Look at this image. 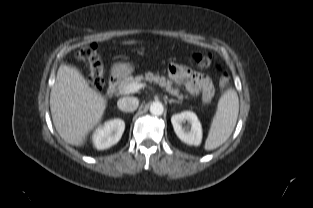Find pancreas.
<instances>
[{
	"label": "pancreas",
	"instance_id": "cf45deb5",
	"mask_svg": "<svg viewBox=\"0 0 313 208\" xmlns=\"http://www.w3.org/2000/svg\"><path fill=\"white\" fill-rule=\"evenodd\" d=\"M142 80L154 82V83L158 84L160 87H164L168 93H170L173 96H176L179 100H182L184 98V96L179 93V90L176 88H173L171 82L169 80H166V78L164 76L160 77L159 75H154L151 72H148L145 75V77L140 75V76H136V77L127 76V77L123 78L118 83V86H117L118 93L121 95L126 94L125 90H126L128 85H130L132 83H141Z\"/></svg>",
	"mask_w": 313,
	"mask_h": 208
}]
</instances>
